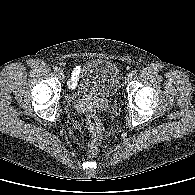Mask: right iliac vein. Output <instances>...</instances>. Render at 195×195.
Masks as SVG:
<instances>
[{"label":"right iliac vein","instance_id":"63e3f726","mask_svg":"<svg viewBox=\"0 0 195 195\" xmlns=\"http://www.w3.org/2000/svg\"><path fill=\"white\" fill-rule=\"evenodd\" d=\"M57 75H58V77L61 78V79L64 78V73H63L62 71H58V72H57Z\"/></svg>","mask_w":195,"mask_h":195}]
</instances>
